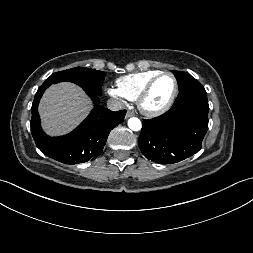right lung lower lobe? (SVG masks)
I'll return each mask as SVG.
<instances>
[{"mask_svg": "<svg viewBox=\"0 0 253 253\" xmlns=\"http://www.w3.org/2000/svg\"><path fill=\"white\" fill-rule=\"evenodd\" d=\"M48 83H43L32 103L31 133L37 147L47 156L65 163L78 164L94 160L102 152L110 131L124 121L126 110L117 112L97 106L90 115L71 133L60 137H49L40 126L38 104ZM94 103L98 96L87 93Z\"/></svg>", "mask_w": 253, "mask_h": 253, "instance_id": "right-lung-lower-lobe-1", "label": "right lung lower lobe"}]
</instances>
